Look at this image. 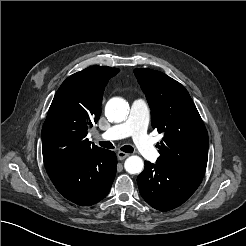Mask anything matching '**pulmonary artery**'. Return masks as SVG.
Listing matches in <instances>:
<instances>
[{"mask_svg":"<svg viewBox=\"0 0 246 246\" xmlns=\"http://www.w3.org/2000/svg\"><path fill=\"white\" fill-rule=\"evenodd\" d=\"M150 122V110L144 99L133 101L127 119L112 126L101 134L105 140H118L132 137L140 153L148 160L154 161L158 157L156 148L147 134Z\"/></svg>","mask_w":246,"mask_h":246,"instance_id":"obj_1","label":"pulmonary artery"}]
</instances>
